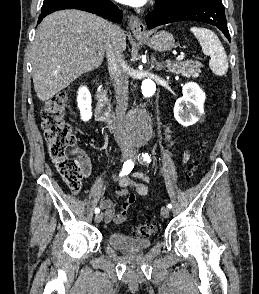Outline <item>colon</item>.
<instances>
[{
  "instance_id": "colon-1",
  "label": "colon",
  "mask_w": 259,
  "mask_h": 294,
  "mask_svg": "<svg viewBox=\"0 0 259 294\" xmlns=\"http://www.w3.org/2000/svg\"><path fill=\"white\" fill-rule=\"evenodd\" d=\"M68 101V92H60L48 99L41 109L42 128L48 144L49 154L56 170L63 181L74 191L82 184V168L76 149V141L70 125L63 119V111ZM206 151V145L200 147L199 155L192 169L198 163L199 157ZM193 171L186 175L190 181ZM157 225L153 221L142 223L135 228V235L148 237L155 234Z\"/></svg>"
}]
</instances>
